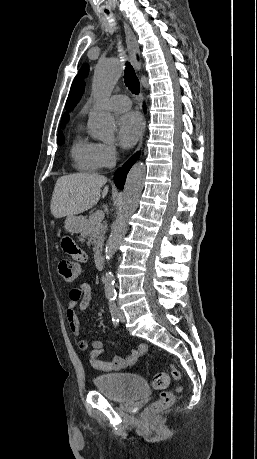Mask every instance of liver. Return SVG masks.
Listing matches in <instances>:
<instances>
[{"instance_id": "6515ba94", "label": "liver", "mask_w": 257, "mask_h": 459, "mask_svg": "<svg viewBox=\"0 0 257 459\" xmlns=\"http://www.w3.org/2000/svg\"><path fill=\"white\" fill-rule=\"evenodd\" d=\"M107 182L105 176L95 173H77L58 178L52 199L51 213L55 218L80 214L92 208L101 197V188ZM108 186L102 191L104 198Z\"/></svg>"}]
</instances>
